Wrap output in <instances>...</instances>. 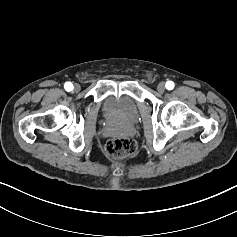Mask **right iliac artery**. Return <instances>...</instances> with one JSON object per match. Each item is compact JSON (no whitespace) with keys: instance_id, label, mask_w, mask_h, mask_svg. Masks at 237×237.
Masks as SVG:
<instances>
[{"instance_id":"obj_1","label":"right iliac artery","mask_w":237,"mask_h":237,"mask_svg":"<svg viewBox=\"0 0 237 237\" xmlns=\"http://www.w3.org/2000/svg\"><path fill=\"white\" fill-rule=\"evenodd\" d=\"M64 88L67 92H70L73 90V84L71 82H66Z\"/></svg>"}]
</instances>
